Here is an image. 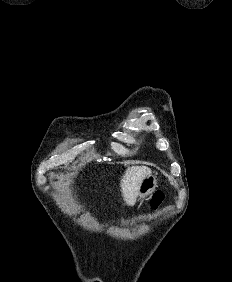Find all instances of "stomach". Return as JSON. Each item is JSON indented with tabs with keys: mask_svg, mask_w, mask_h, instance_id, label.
Listing matches in <instances>:
<instances>
[{
	"mask_svg": "<svg viewBox=\"0 0 232 282\" xmlns=\"http://www.w3.org/2000/svg\"><path fill=\"white\" fill-rule=\"evenodd\" d=\"M156 187H158L157 177L153 174L146 176L140 185V199H144L146 196L151 195L155 191Z\"/></svg>",
	"mask_w": 232,
	"mask_h": 282,
	"instance_id": "1",
	"label": "stomach"
}]
</instances>
